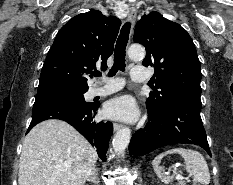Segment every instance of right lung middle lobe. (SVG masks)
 I'll return each instance as SVG.
<instances>
[{
    "instance_id": "dd1d6c3e",
    "label": "right lung middle lobe",
    "mask_w": 233,
    "mask_h": 185,
    "mask_svg": "<svg viewBox=\"0 0 233 185\" xmlns=\"http://www.w3.org/2000/svg\"><path fill=\"white\" fill-rule=\"evenodd\" d=\"M88 89H45L38 90L37 97H59V98H68L77 101L85 102L83 94L87 92Z\"/></svg>"
}]
</instances>
